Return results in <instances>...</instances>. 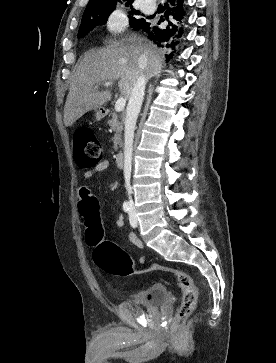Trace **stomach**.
<instances>
[{"mask_svg": "<svg viewBox=\"0 0 276 363\" xmlns=\"http://www.w3.org/2000/svg\"><path fill=\"white\" fill-rule=\"evenodd\" d=\"M105 116L104 111L101 108L96 109L95 117L97 121H100Z\"/></svg>", "mask_w": 276, "mask_h": 363, "instance_id": "1", "label": "stomach"}]
</instances>
